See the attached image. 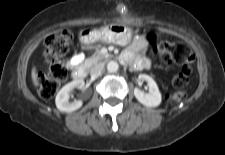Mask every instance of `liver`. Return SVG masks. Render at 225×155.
<instances>
[{"mask_svg":"<svg viewBox=\"0 0 225 155\" xmlns=\"http://www.w3.org/2000/svg\"><path fill=\"white\" fill-rule=\"evenodd\" d=\"M32 80H33V83H34V85L35 86H37L38 85V79H37V75H36V71H35V69H32Z\"/></svg>","mask_w":225,"mask_h":155,"instance_id":"obj_1","label":"liver"}]
</instances>
